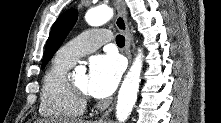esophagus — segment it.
I'll list each match as a JSON object with an SVG mask.
<instances>
[{"label":"esophagus","mask_w":221,"mask_h":123,"mask_svg":"<svg viewBox=\"0 0 221 123\" xmlns=\"http://www.w3.org/2000/svg\"><path fill=\"white\" fill-rule=\"evenodd\" d=\"M115 8L117 10V16L115 19V25L118 28V30L124 34L125 36V55L127 56L129 63L131 62L132 56H131V35L130 30L127 22V11L125 4L122 0H117L115 2ZM112 111V106L106 110L100 119L96 120L95 122H103L105 119H107L108 115Z\"/></svg>","instance_id":"obj_1"}]
</instances>
